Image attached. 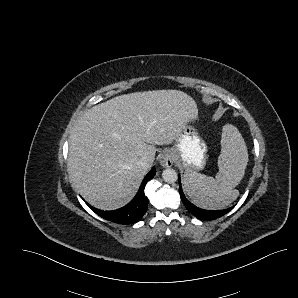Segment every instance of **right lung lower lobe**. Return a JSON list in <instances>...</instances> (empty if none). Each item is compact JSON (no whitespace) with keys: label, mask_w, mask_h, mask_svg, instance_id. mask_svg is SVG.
Masks as SVG:
<instances>
[{"label":"right lung lower lobe","mask_w":298,"mask_h":298,"mask_svg":"<svg viewBox=\"0 0 298 298\" xmlns=\"http://www.w3.org/2000/svg\"><path fill=\"white\" fill-rule=\"evenodd\" d=\"M156 173L155 167H153L150 172L145 176L138 193L134 199L118 210L114 211H102L96 209L89 204H87L97 215L100 217L119 224H131L139 221L143 215L146 213L148 208V198L144 194V188L146 183L154 177Z\"/></svg>","instance_id":"1"}]
</instances>
